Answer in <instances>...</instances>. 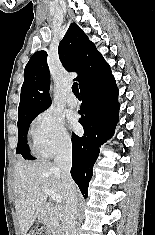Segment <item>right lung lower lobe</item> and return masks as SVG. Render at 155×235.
<instances>
[{
    "instance_id": "obj_1",
    "label": "right lung lower lobe",
    "mask_w": 155,
    "mask_h": 235,
    "mask_svg": "<svg viewBox=\"0 0 155 235\" xmlns=\"http://www.w3.org/2000/svg\"><path fill=\"white\" fill-rule=\"evenodd\" d=\"M82 105L79 123L84 128L82 137L72 133L71 175L87 198L88 185L100 146L114 134L119 120L118 88L111 70L80 88Z\"/></svg>"
}]
</instances>
